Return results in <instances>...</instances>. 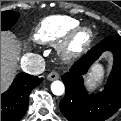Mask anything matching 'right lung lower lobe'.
Masks as SVG:
<instances>
[{"label":"right lung lower lobe","mask_w":121,"mask_h":121,"mask_svg":"<svg viewBox=\"0 0 121 121\" xmlns=\"http://www.w3.org/2000/svg\"><path fill=\"white\" fill-rule=\"evenodd\" d=\"M43 78L20 73L10 88L1 94V121H19L28 108L29 94Z\"/></svg>","instance_id":"98d812e1"}]
</instances>
